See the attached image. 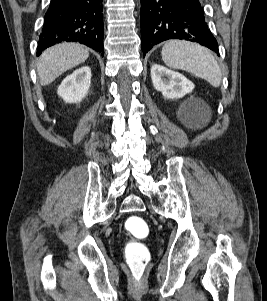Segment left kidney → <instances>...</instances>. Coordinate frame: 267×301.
Returning a JSON list of instances; mask_svg holds the SVG:
<instances>
[{"instance_id":"5707ae66","label":"left kidney","mask_w":267,"mask_h":301,"mask_svg":"<svg viewBox=\"0 0 267 301\" xmlns=\"http://www.w3.org/2000/svg\"><path fill=\"white\" fill-rule=\"evenodd\" d=\"M151 79L154 88L166 99L182 98L194 89V84L184 75L158 64L151 67Z\"/></svg>"}]
</instances>
